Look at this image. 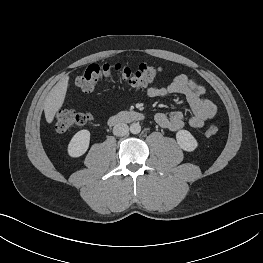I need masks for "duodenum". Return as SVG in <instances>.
<instances>
[{
	"instance_id": "1",
	"label": "duodenum",
	"mask_w": 263,
	"mask_h": 263,
	"mask_svg": "<svg viewBox=\"0 0 263 263\" xmlns=\"http://www.w3.org/2000/svg\"><path fill=\"white\" fill-rule=\"evenodd\" d=\"M144 119V115L137 111H128L118 115L111 116L108 119L109 125H116L124 122H135Z\"/></svg>"
}]
</instances>
